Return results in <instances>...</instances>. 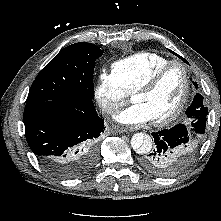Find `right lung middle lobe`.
I'll return each instance as SVG.
<instances>
[{"label": "right lung middle lobe", "instance_id": "obj_1", "mask_svg": "<svg viewBox=\"0 0 221 221\" xmlns=\"http://www.w3.org/2000/svg\"><path fill=\"white\" fill-rule=\"evenodd\" d=\"M103 50L92 43L72 44L56 55L37 75L26 104L57 99H93L95 61Z\"/></svg>", "mask_w": 221, "mask_h": 221}]
</instances>
